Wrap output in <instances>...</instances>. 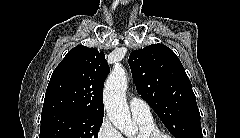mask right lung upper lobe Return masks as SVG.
I'll return each mask as SVG.
<instances>
[{
  "label": "right lung upper lobe",
  "instance_id": "obj_1",
  "mask_svg": "<svg viewBox=\"0 0 240 138\" xmlns=\"http://www.w3.org/2000/svg\"><path fill=\"white\" fill-rule=\"evenodd\" d=\"M109 71L103 52L74 47L51 76L41 116L69 112L103 118V86Z\"/></svg>",
  "mask_w": 240,
  "mask_h": 138
}]
</instances>
